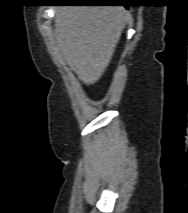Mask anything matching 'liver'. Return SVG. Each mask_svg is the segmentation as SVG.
Segmentation results:
<instances>
[{"instance_id": "6515ba94", "label": "liver", "mask_w": 188, "mask_h": 213, "mask_svg": "<svg viewBox=\"0 0 188 213\" xmlns=\"http://www.w3.org/2000/svg\"><path fill=\"white\" fill-rule=\"evenodd\" d=\"M129 19L123 6H64L57 10V47L83 83L94 84L101 78Z\"/></svg>"}]
</instances>
